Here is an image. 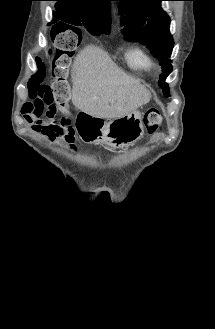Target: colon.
Wrapping results in <instances>:
<instances>
[{"instance_id": "obj_1", "label": "colon", "mask_w": 215, "mask_h": 329, "mask_svg": "<svg viewBox=\"0 0 215 329\" xmlns=\"http://www.w3.org/2000/svg\"><path fill=\"white\" fill-rule=\"evenodd\" d=\"M54 46L51 54V66H46L45 55L33 56V67L40 73L33 74V81H28L30 88L28 102L23 107L24 115L51 116L62 114L58 120V129L68 141H73L71 116L66 105L69 96L67 72L75 49H81L83 37L81 25H54L53 31L47 32ZM162 117L157 109H149L144 115V127L148 133L159 128Z\"/></svg>"}]
</instances>
